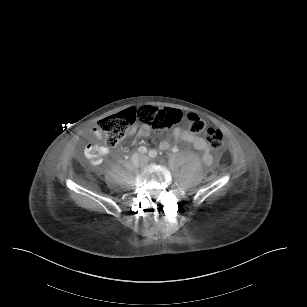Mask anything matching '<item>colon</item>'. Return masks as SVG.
I'll list each match as a JSON object with an SVG mask.
<instances>
[{"label":"colon","instance_id":"colon-1","mask_svg":"<svg viewBox=\"0 0 307 307\" xmlns=\"http://www.w3.org/2000/svg\"><path fill=\"white\" fill-rule=\"evenodd\" d=\"M124 116H134L135 121L141 122L155 132H165L183 119V113L174 108L156 109L144 107L110 115L101 119L98 125L99 130L104 135V142L110 147L118 146L125 136L127 128L133 124L124 123ZM186 120L190 130L194 133H200L205 128V122L194 113H188ZM205 138L213 150L219 151L223 148V134L219 129L208 127L205 131Z\"/></svg>","mask_w":307,"mask_h":307}]
</instances>
